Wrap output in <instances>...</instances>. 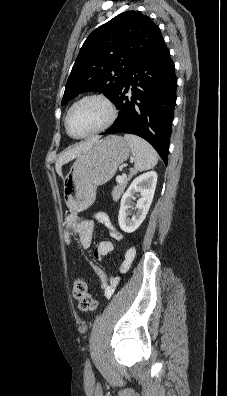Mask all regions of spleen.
<instances>
[{"mask_svg":"<svg viewBox=\"0 0 227 396\" xmlns=\"http://www.w3.org/2000/svg\"><path fill=\"white\" fill-rule=\"evenodd\" d=\"M124 138L129 143L136 171L148 170L157 164V152L148 142L132 134H125Z\"/></svg>","mask_w":227,"mask_h":396,"instance_id":"1","label":"spleen"}]
</instances>
